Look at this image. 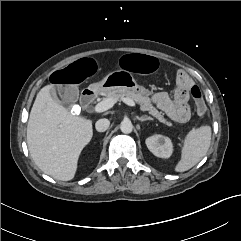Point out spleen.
Instances as JSON below:
<instances>
[{"label": "spleen", "mask_w": 241, "mask_h": 241, "mask_svg": "<svg viewBox=\"0 0 241 241\" xmlns=\"http://www.w3.org/2000/svg\"><path fill=\"white\" fill-rule=\"evenodd\" d=\"M211 144V127L193 128L186 135L181 150V159L175 166L176 172H185L195 166L207 153Z\"/></svg>", "instance_id": "3e777b00"}]
</instances>
